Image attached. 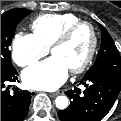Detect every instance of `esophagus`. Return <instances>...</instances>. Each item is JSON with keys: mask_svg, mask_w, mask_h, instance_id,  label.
<instances>
[{"mask_svg": "<svg viewBox=\"0 0 121 121\" xmlns=\"http://www.w3.org/2000/svg\"><path fill=\"white\" fill-rule=\"evenodd\" d=\"M59 94H60V92L57 91V92H53V93H51L50 95H51V96H57V95H59Z\"/></svg>", "mask_w": 121, "mask_h": 121, "instance_id": "obj_1", "label": "esophagus"}]
</instances>
